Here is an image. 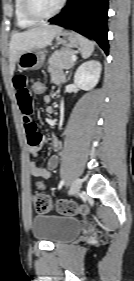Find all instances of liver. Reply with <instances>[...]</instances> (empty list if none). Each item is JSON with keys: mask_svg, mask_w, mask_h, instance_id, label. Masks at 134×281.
Segmentation results:
<instances>
[{"mask_svg": "<svg viewBox=\"0 0 134 281\" xmlns=\"http://www.w3.org/2000/svg\"><path fill=\"white\" fill-rule=\"evenodd\" d=\"M62 28L56 25H42L12 36L9 45V70L13 75L17 58L23 52L41 50L51 44Z\"/></svg>", "mask_w": 134, "mask_h": 281, "instance_id": "liver-1", "label": "liver"}]
</instances>
